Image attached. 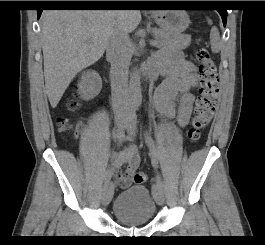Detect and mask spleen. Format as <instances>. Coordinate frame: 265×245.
<instances>
[{
	"label": "spleen",
	"instance_id": "obj_1",
	"mask_svg": "<svg viewBox=\"0 0 265 245\" xmlns=\"http://www.w3.org/2000/svg\"><path fill=\"white\" fill-rule=\"evenodd\" d=\"M210 42H211V48L212 51L217 53L220 50L221 42H220V35L219 31L216 27H213L211 29L210 33Z\"/></svg>",
	"mask_w": 265,
	"mask_h": 245
}]
</instances>
